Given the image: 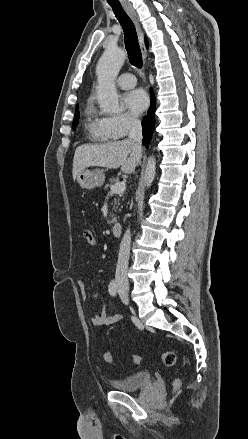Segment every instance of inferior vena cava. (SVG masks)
I'll return each mask as SVG.
<instances>
[{"label": "inferior vena cava", "instance_id": "inferior-vena-cava-1", "mask_svg": "<svg viewBox=\"0 0 248 439\" xmlns=\"http://www.w3.org/2000/svg\"><path fill=\"white\" fill-rule=\"evenodd\" d=\"M130 129L128 140L134 144V147L142 151V126L139 119L132 117L129 121ZM131 233L128 229L123 236L120 244L118 262L116 267V280L118 285H129L127 270L130 256Z\"/></svg>", "mask_w": 248, "mask_h": 439}]
</instances>
